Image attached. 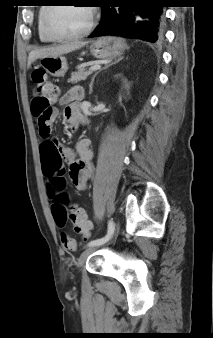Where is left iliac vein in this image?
I'll return each instance as SVG.
<instances>
[{
    "label": "left iliac vein",
    "mask_w": 213,
    "mask_h": 338,
    "mask_svg": "<svg viewBox=\"0 0 213 338\" xmlns=\"http://www.w3.org/2000/svg\"><path fill=\"white\" fill-rule=\"evenodd\" d=\"M118 232H119V227L117 226L116 230H115V233L113 234V240L116 239L117 235H118ZM100 247V245H94V246H91V247H88L87 249H85L79 259H78V267H82L84 265V263L86 262L87 258L89 257L90 254H92L94 251H96L98 248Z\"/></svg>",
    "instance_id": "obj_1"
}]
</instances>
